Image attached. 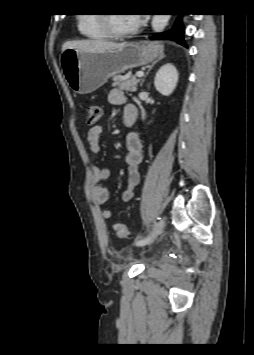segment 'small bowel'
<instances>
[{
	"label": "small bowel",
	"instance_id": "obj_1",
	"mask_svg": "<svg viewBox=\"0 0 254 355\" xmlns=\"http://www.w3.org/2000/svg\"><path fill=\"white\" fill-rule=\"evenodd\" d=\"M108 101L112 105H124L123 119L124 123L130 121L132 124L136 121L138 116V109L133 104L126 103V97L124 92L118 88H114L109 92ZM103 132V128L99 125L91 127L87 132V142L91 157L96 160L102 151L100 143V137ZM127 155L125 157V163L128 169L127 188L122 193L123 202H129L134 196V188L140 181L139 167L143 161L145 143L142 136L137 132H130L126 138ZM92 173V196L94 202L98 205H103L109 198L108 190L103 187L102 183L110 177L111 171L109 168L100 167L95 163L91 166ZM101 217L104 220H110L112 218V212L103 208L101 210Z\"/></svg>",
	"mask_w": 254,
	"mask_h": 355
}]
</instances>
